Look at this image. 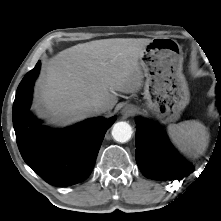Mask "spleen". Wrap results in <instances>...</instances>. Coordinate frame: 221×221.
Wrapping results in <instances>:
<instances>
[{
  "label": "spleen",
  "instance_id": "obj_1",
  "mask_svg": "<svg viewBox=\"0 0 221 221\" xmlns=\"http://www.w3.org/2000/svg\"><path fill=\"white\" fill-rule=\"evenodd\" d=\"M168 134L174 145L184 153L202 154L209 142L207 128L197 120L170 124Z\"/></svg>",
  "mask_w": 221,
  "mask_h": 221
}]
</instances>
